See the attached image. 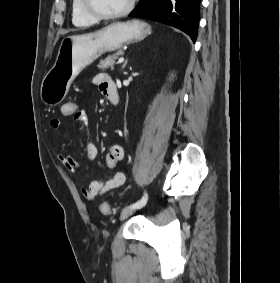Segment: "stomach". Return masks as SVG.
I'll use <instances>...</instances> for the list:
<instances>
[{"label":"stomach","instance_id":"1","mask_svg":"<svg viewBox=\"0 0 280 283\" xmlns=\"http://www.w3.org/2000/svg\"><path fill=\"white\" fill-rule=\"evenodd\" d=\"M150 33L148 23L134 19L114 22L94 32L65 37L53 67L42 81L41 100L46 105H58L68 93L72 81L84 68L103 54L141 41Z\"/></svg>","mask_w":280,"mask_h":283}]
</instances>
